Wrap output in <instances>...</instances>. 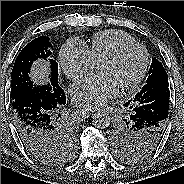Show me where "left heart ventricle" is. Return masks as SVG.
I'll return each instance as SVG.
<instances>
[{"label": "left heart ventricle", "instance_id": "1", "mask_svg": "<svg viewBox=\"0 0 184 184\" xmlns=\"http://www.w3.org/2000/svg\"><path fill=\"white\" fill-rule=\"evenodd\" d=\"M143 63L142 53L138 49L126 51L117 61L112 63H99V73L111 76L121 87L130 82L139 72Z\"/></svg>", "mask_w": 184, "mask_h": 184}]
</instances>
